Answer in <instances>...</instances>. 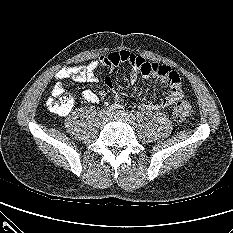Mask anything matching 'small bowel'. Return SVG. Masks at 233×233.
<instances>
[{"label": "small bowel", "mask_w": 233, "mask_h": 233, "mask_svg": "<svg viewBox=\"0 0 233 233\" xmlns=\"http://www.w3.org/2000/svg\"><path fill=\"white\" fill-rule=\"evenodd\" d=\"M121 63H129L132 66V74L130 81L135 83L138 75L148 77H156L160 82L165 83L169 87L167 95L159 102L147 101L144 103L146 110H161L168 108L179 101L183 96L181 79L179 74L166 65L156 63H149L144 58L135 55L127 50H119L111 52L107 55L99 57L86 65L64 67L56 74L57 83L53 91L57 88L63 89L62 81L65 79H72L77 83H96L98 78L96 71L99 67L113 68ZM84 100L91 103H98L100 98L92 90H85L82 93ZM121 101L116 103L117 106L121 105ZM69 112L60 114L61 116L67 115Z\"/></svg>", "instance_id": "obj_1"}]
</instances>
